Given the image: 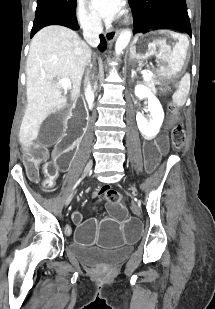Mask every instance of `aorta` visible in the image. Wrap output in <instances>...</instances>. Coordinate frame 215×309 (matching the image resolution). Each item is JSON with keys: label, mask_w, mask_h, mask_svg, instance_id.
<instances>
[{"label": "aorta", "mask_w": 215, "mask_h": 309, "mask_svg": "<svg viewBox=\"0 0 215 309\" xmlns=\"http://www.w3.org/2000/svg\"><path fill=\"white\" fill-rule=\"evenodd\" d=\"M130 38L131 30H122V32H120L115 44L116 54H120V52H123V48H126Z\"/></svg>", "instance_id": "obj_1"}]
</instances>
